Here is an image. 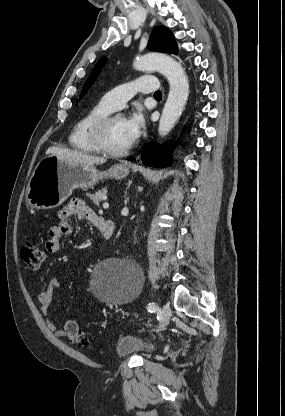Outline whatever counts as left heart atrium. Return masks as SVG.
<instances>
[{"mask_svg": "<svg viewBox=\"0 0 285 416\" xmlns=\"http://www.w3.org/2000/svg\"><path fill=\"white\" fill-rule=\"evenodd\" d=\"M143 127L144 118L139 111H134L127 118H124L125 134L130 143L139 138Z\"/></svg>", "mask_w": 285, "mask_h": 416, "instance_id": "39dd6f15", "label": "left heart atrium"}]
</instances>
